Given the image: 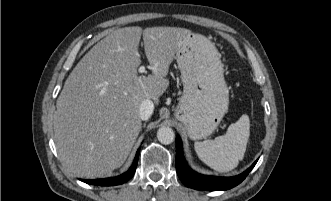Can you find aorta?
Here are the masks:
<instances>
[{"mask_svg":"<svg viewBox=\"0 0 331 201\" xmlns=\"http://www.w3.org/2000/svg\"><path fill=\"white\" fill-rule=\"evenodd\" d=\"M174 137V131L170 127L162 126L157 131L158 141L162 144H171L174 141Z\"/></svg>","mask_w":331,"mask_h":201,"instance_id":"aorta-1","label":"aorta"}]
</instances>
